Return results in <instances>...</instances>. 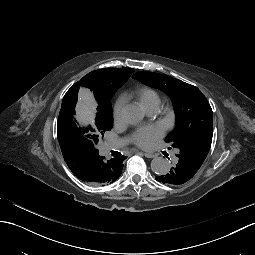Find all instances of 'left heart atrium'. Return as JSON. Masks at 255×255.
Segmentation results:
<instances>
[{
  "label": "left heart atrium",
  "mask_w": 255,
  "mask_h": 255,
  "mask_svg": "<svg viewBox=\"0 0 255 255\" xmlns=\"http://www.w3.org/2000/svg\"><path fill=\"white\" fill-rule=\"evenodd\" d=\"M139 131H141L142 133L141 138L136 139L134 138V136H132V142L143 149L150 148L153 145L154 141L161 136V132L154 127L143 128Z\"/></svg>",
  "instance_id": "obj_1"
}]
</instances>
